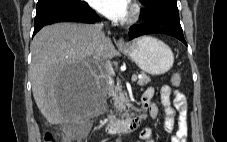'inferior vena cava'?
Returning a JSON list of instances; mask_svg holds the SVG:
<instances>
[{"label":"inferior vena cava","instance_id":"inferior-vena-cava-1","mask_svg":"<svg viewBox=\"0 0 227 142\" xmlns=\"http://www.w3.org/2000/svg\"><path fill=\"white\" fill-rule=\"evenodd\" d=\"M102 26V23H95L92 25V38L96 44H99L106 38L104 32L102 31Z\"/></svg>","mask_w":227,"mask_h":142}]
</instances>
